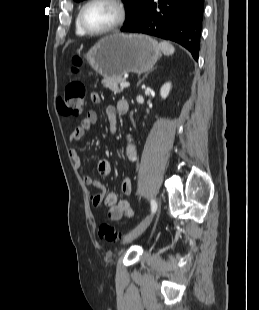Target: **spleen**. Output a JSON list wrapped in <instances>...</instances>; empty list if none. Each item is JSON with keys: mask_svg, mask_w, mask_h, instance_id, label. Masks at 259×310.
<instances>
[{"mask_svg": "<svg viewBox=\"0 0 259 310\" xmlns=\"http://www.w3.org/2000/svg\"><path fill=\"white\" fill-rule=\"evenodd\" d=\"M160 49L164 55L170 56L175 52V49L172 44L169 42L163 41L159 43Z\"/></svg>", "mask_w": 259, "mask_h": 310, "instance_id": "spleen-1", "label": "spleen"}]
</instances>
